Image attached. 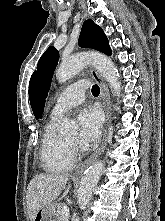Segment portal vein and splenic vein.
<instances>
[{"label":"portal vein and splenic vein","mask_w":165,"mask_h":221,"mask_svg":"<svg viewBox=\"0 0 165 221\" xmlns=\"http://www.w3.org/2000/svg\"><path fill=\"white\" fill-rule=\"evenodd\" d=\"M68 217H69V208L67 206H64L61 211L62 221H68Z\"/></svg>","instance_id":"1"}]
</instances>
